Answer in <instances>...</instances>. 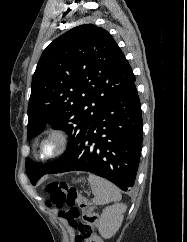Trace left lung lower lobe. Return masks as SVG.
I'll list each match as a JSON object with an SVG mask.
<instances>
[{
    "label": "left lung lower lobe",
    "mask_w": 187,
    "mask_h": 242,
    "mask_svg": "<svg viewBox=\"0 0 187 242\" xmlns=\"http://www.w3.org/2000/svg\"><path fill=\"white\" fill-rule=\"evenodd\" d=\"M134 82L100 112L75 150L48 174L86 171L108 179L123 191L133 187L143 128ZM40 177L32 179V184Z\"/></svg>",
    "instance_id": "left-lung-lower-lobe-1"
}]
</instances>
